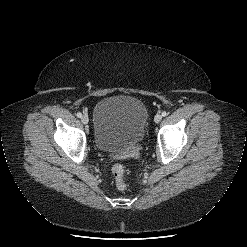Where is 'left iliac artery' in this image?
Here are the masks:
<instances>
[{
  "mask_svg": "<svg viewBox=\"0 0 247 247\" xmlns=\"http://www.w3.org/2000/svg\"><path fill=\"white\" fill-rule=\"evenodd\" d=\"M167 115H168V113H167L166 111H163V112H162V116L165 117V116H167Z\"/></svg>",
  "mask_w": 247,
  "mask_h": 247,
  "instance_id": "44dca946",
  "label": "left iliac artery"
}]
</instances>
